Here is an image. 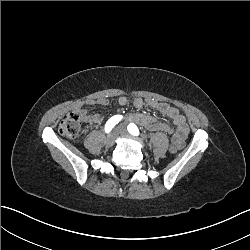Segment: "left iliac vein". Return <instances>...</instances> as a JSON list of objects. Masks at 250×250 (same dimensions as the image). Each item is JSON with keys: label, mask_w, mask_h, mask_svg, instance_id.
<instances>
[{"label": "left iliac vein", "mask_w": 250, "mask_h": 250, "mask_svg": "<svg viewBox=\"0 0 250 250\" xmlns=\"http://www.w3.org/2000/svg\"><path fill=\"white\" fill-rule=\"evenodd\" d=\"M119 134L134 139V137L131 134H129L124 128L119 129Z\"/></svg>", "instance_id": "left-iliac-vein-1"}]
</instances>
